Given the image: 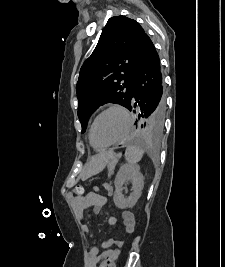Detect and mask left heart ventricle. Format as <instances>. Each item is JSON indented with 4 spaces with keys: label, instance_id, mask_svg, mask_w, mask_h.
<instances>
[{
    "label": "left heart ventricle",
    "instance_id": "1",
    "mask_svg": "<svg viewBox=\"0 0 225 267\" xmlns=\"http://www.w3.org/2000/svg\"><path fill=\"white\" fill-rule=\"evenodd\" d=\"M126 128V119L119 111H109L97 121L94 129L95 140L99 144L110 143L118 139Z\"/></svg>",
    "mask_w": 225,
    "mask_h": 267
}]
</instances>
